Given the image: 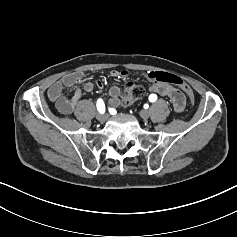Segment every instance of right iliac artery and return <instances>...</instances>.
<instances>
[{
    "instance_id": "1",
    "label": "right iliac artery",
    "mask_w": 237,
    "mask_h": 237,
    "mask_svg": "<svg viewBox=\"0 0 237 237\" xmlns=\"http://www.w3.org/2000/svg\"><path fill=\"white\" fill-rule=\"evenodd\" d=\"M96 106L99 113L103 114L105 112V104L102 99H98Z\"/></svg>"
}]
</instances>
